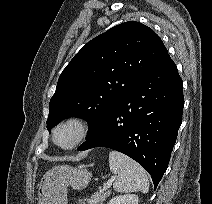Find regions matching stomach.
Masks as SVG:
<instances>
[{
	"mask_svg": "<svg viewBox=\"0 0 212 204\" xmlns=\"http://www.w3.org/2000/svg\"><path fill=\"white\" fill-rule=\"evenodd\" d=\"M90 181L87 171L68 165L56 166L42 177L38 204H67V188L84 189Z\"/></svg>",
	"mask_w": 212,
	"mask_h": 204,
	"instance_id": "0dacf381",
	"label": "stomach"
}]
</instances>
